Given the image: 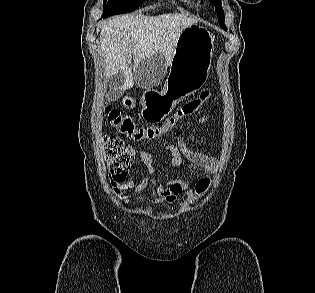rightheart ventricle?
Returning <instances> with one entry per match:
<instances>
[{
    "label": "right heart ventricle",
    "instance_id": "obj_1",
    "mask_svg": "<svg viewBox=\"0 0 315 293\" xmlns=\"http://www.w3.org/2000/svg\"><path fill=\"white\" fill-rule=\"evenodd\" d=\"M183 2L187 3L188 5H191L192 3L190 2V0H182Z\"/></svg>",
    "mask_w": 315,
    "mask_h": 293
}]
</instances>
